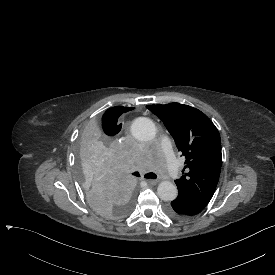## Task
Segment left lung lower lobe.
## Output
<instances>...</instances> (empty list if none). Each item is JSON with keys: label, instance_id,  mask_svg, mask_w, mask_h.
<instances>
[{"label": "left lung lower lobe", "instance_id": "0a47b994", "mask_svg": "<svg viewBox=\"0 0 275 275\" xmlns=\"http://www.w3.org/2000/svg\"><path fill=\"white\" fill-rule=\"evenodd\" d=\"M206 205H203L189 196H179L167 206V213L175 219H187L199 214Z\"/></svg>", "mask_w": 275, "mask_h": 275}]
</instances>
